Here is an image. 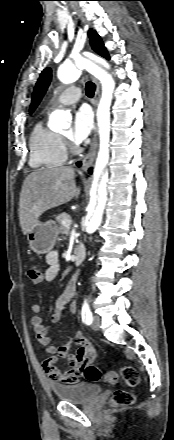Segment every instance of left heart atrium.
Here are the masks:
<instances>
[{"label": "left heart atrium", "mask_w": 174, "mask_h": 440, "mask_svg": "<svg viewBox=\"0 0 174 440\" xmlns=\"http://www.w3.org/2000/svg\"><path fill=\"white\" fill-rule=\"evenodd\" d=\"M93 129V115L91 110L82 106L74 114L71 139L76 144L82 143L89 136Z\"/></svg>", "instance_id": "obj_1"}]
</instances>
